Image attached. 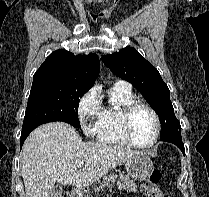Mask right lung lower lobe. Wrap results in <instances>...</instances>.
<instances>
[{
	"instance_id": "98d812e1",
	"label": "right lung lower lobe",
	"mask_w": 209,
	"mask_h": 197,
	"mask_svg": "<svg viewBox=\"0 0 209 197\" xmlns=\"http://www.w3.org/2000/svg\"><path fill=\"white\" fill-rule=\"evenodd\" d=\"M37 127V126H36ZM36 127H30L28 129H24L22 130L21 132V138H20V145H21V148H22V145L25 141V139L27 138V136L30 134V132L35 129Z\"/></svg>"
}]
</instances>
